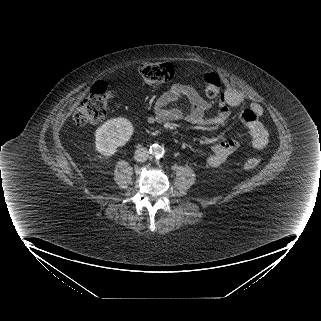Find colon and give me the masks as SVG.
Listing matches in <instances>:
<instances>
[{
    "label": "colon",
    "instance_id": "5ec220e1",
    "mask_svg": "<svg viewBox=\"0 0 321 321\" xmlns=\"http://www.w3.org/2000/svg\"><path fill=\"white\" fill-rule=\"evenodd\" d=\"M140 76L147 85L155 86L171 80L175 70L171 63H149L139 70ZM205 94L208 97H217L221 92V80L213 70H207L203 76ZM112 87L105 81L96 82L87 96L80 102L74 113V122L78 126H84L101 121L106 112V107L112 98ZM260 159L257 156L247 157L243 167L247 170L259 166Z\"/></svg>",
    "mask_w": 321,
    "mask_h": 321
}]
</instances>
